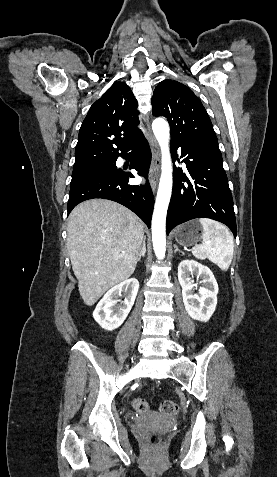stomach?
<instances>
[{
    "label": "stomach",
    "instance_id": "obj_1",
    "mask_svg": "<svg viewBox=\"0 0 277 477\" xmlns=\"http://www.w3.org/2000/svg\"><path fill=\"white\" fill-rule=\"evenodd\" d=\"M203 236V228L198 220H192L181 226L175 231V240L182 246H192L197 244Z\"/></svg>",
    "mask_w": 277,
    "mask_h": 477
}]
</instances>
